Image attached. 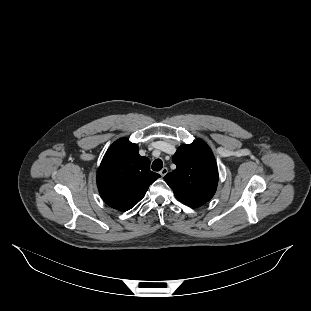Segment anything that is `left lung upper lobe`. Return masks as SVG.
<instances>
[{
  "label": "left lung upper lobe",
  "instance_id": "5c2ea615",
  "mask_svg": "<svg viewBox=\"0 0 311 311\" xmlns=\"http://www.w3.org/2000/svg\"><path fill=\"white\" fill-rule=\"evenodd\" d=\"M172 161L176 169L164 180L174 191L177 200L192 208L208 202L216 192L218 170L211 149L202 140L182 145Z\"/></svg>",
  "mask_w": 311,
  "mask_h": 311
}]
</instances>
